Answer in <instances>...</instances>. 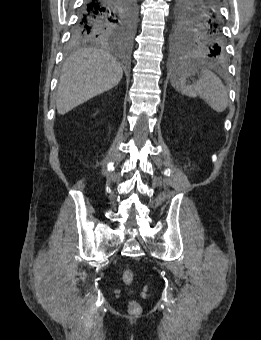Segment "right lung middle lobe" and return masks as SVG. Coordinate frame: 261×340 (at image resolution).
Listing matches in <instances>:
<instances>
[{
  "instance_id": "1",
  "label": "right lung middle lobe",
  "mask_w": 261,
  "mask_h": 340,
  "mask_svg": "<svg viewBox=\"0 0 261 340\" xmlns=\"http://www.w3.org/2000/svg\"><path fill=\"white\" fill-rule=\"evenodd\" d=\"M136 16V0H126L125 7L116 14L103 15L81 27L76 24L70 43L75 46L88 42L128 41L135 29Z\"/></svg>"
}]
</instances>
